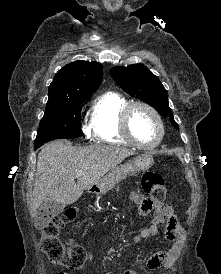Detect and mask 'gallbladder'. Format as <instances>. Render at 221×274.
Instances as JSON below:
<instances>
[{"mask_svg":"<svg viewBox=\"0 0 221 274\" xmlns=\"http://www.w3.org/2000/svg\"><path fill=\"white\" fill-rule=\"evenodd\" d=\"M64 208L65 206L61 203L45 201L39 206L36 221L48 222L56 215L62 213Z\"/></svg>","mask_w":221,"mask_h":274,"instance_id":"obj_1","label":"gallbladder"}]
</instances>
